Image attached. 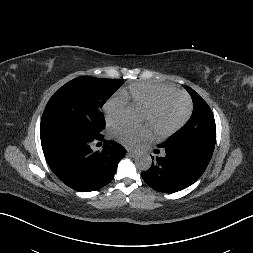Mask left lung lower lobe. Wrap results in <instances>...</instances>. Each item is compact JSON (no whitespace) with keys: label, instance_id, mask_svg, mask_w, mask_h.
<instances>
[{"label":"left lung lower lobe","instance_id":"1","mask_svg":"<svg viewBox=\"0 0 253 253\" xmlns=\"http://www.w3.org/2000/svg\"><path fill=\"white\" fill-rule=\"evenodd\" d=\"M164 154L154 159L142 172L143 180L153 189L173 193L192 185L205 171L210 159L200 153L178 146H160ZM159 153V150H155ZM154 159V161H153Z\"/></svg>","mask_w":253,"mask_h":253}]
</instances>
